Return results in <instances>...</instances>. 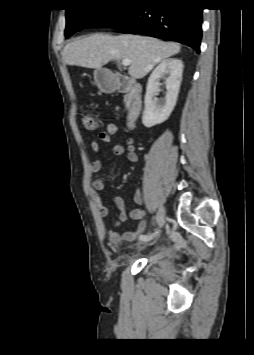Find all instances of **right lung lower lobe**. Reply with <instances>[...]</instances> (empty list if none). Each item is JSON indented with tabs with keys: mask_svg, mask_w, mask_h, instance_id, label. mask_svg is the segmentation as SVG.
<instances>
[{
	"mask_svg": "<svg viewBox=\"0 0 254 355\" xmlns=\"http://www.w3.org/2000/svg\"><path fill=\"white\" fill-rule=\"evenodd\" d=\"M202 8L198 0L143 1L129 6L108 27L187 44L200 52Z\"/></svg>",
	"mask_w": 254,
	"mask_h": 355,
	"instance_id": "right-lung-lower-lobe-1",
	"label": "right lung lower lobe"
}]
</instances>
